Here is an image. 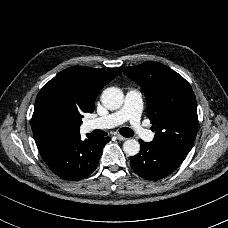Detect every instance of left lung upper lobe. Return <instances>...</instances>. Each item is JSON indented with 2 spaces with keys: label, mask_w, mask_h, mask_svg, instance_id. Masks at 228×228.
<instances>
[{
  "label": "left lung upper lobe",
  "mask_w": 228,
  "mask_h": 228,
  "mask_svg": "<svg viewBox=\"0 0 228 228\" xmlns=\"http://www.w3.org/2000/svg\"><path fill=\"white\" fill-rule=\"evenodd\" d=\"M121 70L143 89L153 142L189 153L197 128V102L190 84L177 72L154 61Z\"/></svg>",
  "instance_id": "left-lung-upper-lobe-1"
}]
</instances>
